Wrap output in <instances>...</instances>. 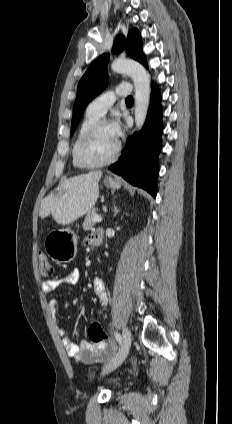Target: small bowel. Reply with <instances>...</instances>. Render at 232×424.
<instances>
[{
  "label": "small bowel",
  "instance_id": "1",
  "mask_svg": "<svg viewBox=\"0 0 232 424\" xmlns=\"http://www.w3.org/2000/svg\"><path fill=\"white\" fill-rule=\"evenodd\" d=\"M101 232L97 231L94 234L88 236L84 241V245H94L96 238ZM80 279V272L77 269L71 270L69 273L57 280H47L42 284V289L46 294L54 292L59 286H74ZM92 289L94 294L102 301L105 305L107 304L108 297L103 281L100 278H96L93 281ZM50 309L53 314L57 311V300L52 298L49 301ZM59 333L63 340V345L66 352L75 358L76 360L83 363H95V362H106L110 360L115 352L116 346L113 342L105 344H94L87 340H82L79 343L73 342L67 331L63 328H59Z\"/></svg>",
  "mask_w": 232,
  "mask_h": 424
}]
</instances>
